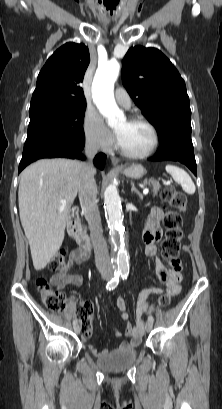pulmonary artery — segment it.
Wrapping results in <instances>:
<instances>
[{
    "instance_id": "1",
    "label": "pulmonary artery",
    "mask_w": 222,
    "mask_h": 409,
    "mask_svg": "<svg viewBox=\"0 0 222 409\" xmlns=\"http://www.w3.org/2000/svg\"><path fill=\"white\" fill-rule=\"evenodd\" d=\"M115 99L117 103L124 108H129L131 106V98L127 91L122 87H117L115 89Z\"/></svg>"
}]
</instances>
